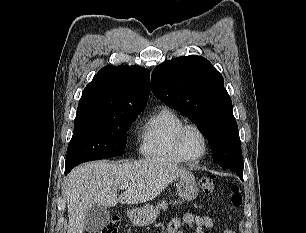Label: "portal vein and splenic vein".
Listing matches in <instances>:
<instances>
[{
    "label": "portal vein and splenic vein",
    "mask_w": 306,
    "mask_h": 233,
    "mask_svg": "<svg viewBox=\"0 0 306 233\" xmlns=\"http://www.w3.org/2000/svg\"><path fill=\"white\" fill-rule=\"evenodd\" d=\"M127 187H128V185L123 184V185H121L119 188H120L121 190H124V189H126Z\"/></svg>",
    "instance_id": "18ae733b"
}]
</instances>
